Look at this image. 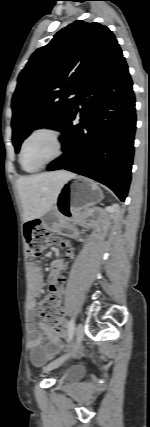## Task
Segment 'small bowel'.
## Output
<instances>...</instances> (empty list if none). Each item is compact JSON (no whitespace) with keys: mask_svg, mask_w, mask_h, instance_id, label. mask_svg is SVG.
Masks as SVG:
<instances>
[{"mask_svg":"<svg viewBox=\"0 0 150 427\" xmlns=\"http://www.w3.org/2000/svg\"><path fill=\"white\" fill-rule=\"evenodd\" d=\"M50 269L49 284L50 288H52L53 286H57L58 282L63 278L60 276L62 263L60 261H53ZM30 278L35 292L41 293L43 291L44 279L39 267L31 266ZM61 290L62 287L57 286L59 294ZM44 332L45 334L41 333L33 324H30L28 327V348L31 353V360L35 365L43 364L59 348L61 336L48 328H44ZM45 338H47V341H44Z\"/></svg>","mask_w":150,"mask_h":427,"instance_id":"c3829d8e","label":"small bowel"}]
</instances>
